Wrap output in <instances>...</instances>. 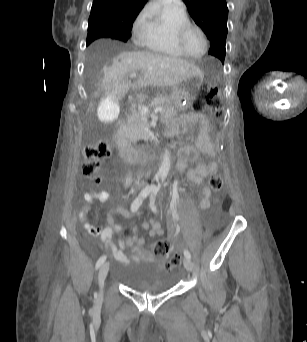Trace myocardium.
<instances>
[{
    "instance_id": "f54148a6",
    "label": "myocardium",
    "mask_w": 307,
    "mask_h": 342,
    "mask_svg": "<svg viewBox=\"0 0 307 342\" xmlns=\"http://www.w3.org/2000/svg\"><path fill=\"white\" fill-rule=\"evenodd\" d=\"M193 27H197L200 29L202 35H203V39H204V44H205V49L204 52L201 56L199 57H194L192 56L186 49V45H185V39H186V35L189 32V30ZM176 44L179 48V50L190 60L192 61H200L203 58L206 57V55L208 54L209 51V38H208V33L207 30L205 29L204 25L197 21V20H193V19H189L185 22H183L182 24L179 25L177 32H176Z\"/></svg>"
}]
</instances>
